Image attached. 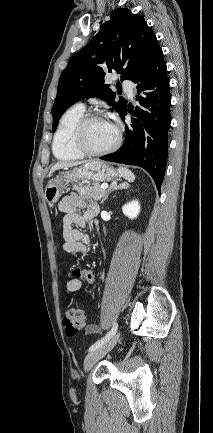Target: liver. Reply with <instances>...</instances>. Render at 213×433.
Returning a JSON list of instances; mask_svg holds the SVG:
<instances>
[{
    "instance_id": "liver-1",
    "label": "liver",
    "mask_w": 213,
    "mask_h": 433,
    "mask_svg": "<svg viewBox=\"0 0 213 433\" xmlns=\"http://www.w3.org/2000/svg\"><path fill=\"white\" fill-rule=\"evenodd\" d=\"M86 162H87V161H82V162H73V163H67V162L57 163L56 165H54V166L51 168V170H50V172H49V175H51L52 173H54L56 170H59V169H66V168L73 167V166H77V165H80V164H82V163H86Z\"/></svg>"
}]
</instances>
